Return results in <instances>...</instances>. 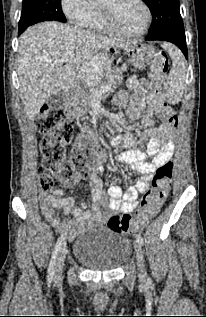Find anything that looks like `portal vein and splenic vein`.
Wrapping results in <instances>:
<instances>
[{"instance_id": "18ae733b", "label": "portal vein and splenic vein", "mask_w": 206, "mask_h": 317, "mask_svg": "<svg viewBox=\"0 0 206 317\" xmlns=\"http://www.w3.org/2000/svg\"><path fill=\"white\" fill-rule=\"evenodd\" d=\"M74 56H75V53H74V52H67V53H65V55L63 56V58H62L59 62H60V63H65V62H67V61L73 59ZM109 90H110V87H109L108 85H107V86H103V87H101V89L95 91V92H94V95H95V96H98V95H100V94H102V93H105V92H107V91H109Z\"/></svg>"}]
</instances>
